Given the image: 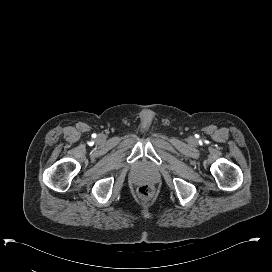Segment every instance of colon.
<instances>
[{"label":"colon","instance_id":"colon-1","mask_svg":"<svg viewBox=\"0 0 272 272\" xmlns=\"http://www.w3.org/2000/svg\"><path fill=\"white\" fill-rule=\"evenodd\" d=\"M138 194L143 199H151L154 194V189L150 185H143L138 189Z\"/></svg>","mask_w":272,"mask_h":272}]
</instances>
